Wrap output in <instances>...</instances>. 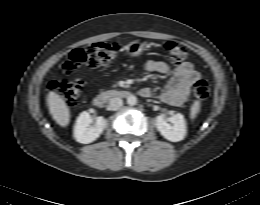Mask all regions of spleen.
Returning a JSON list of instances; mask_svg holds the SVG:
<instances>
[{"mask_svg":"<svg viewBox=\"0 0 260 205\" xmlns=\"http://www.w3.org/2000/svg\"><path fill=\"white\" fill-rule=\"evenodd\" d=\"M199 111H200V102L195 101L190 109V118L192 120H194L196 118L197 114L199 113Z\"/></svg>","mask_w":260,"mask_h":205,"instance_id":"1","label":"spleen"}]
</instances>
